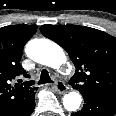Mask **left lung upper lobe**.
I'll return each instance as SVG.
<instances>
[{"label": "left lung upper lobe", "mask_w": 116, "mask_h": 116, "mask_svg": "<svg viewBox=\"0 0 116 116\" xmlns=\"http://www.w3.org/2000/svg\"><path fill=\"white\" fill-rule=\"evenodd\" d=\"M42 34L68 53L76 66L69 84L84 94L116 98V38L77 25H43Z\"/></svg>", "instance_id": "obj_1"}]
</instances>
